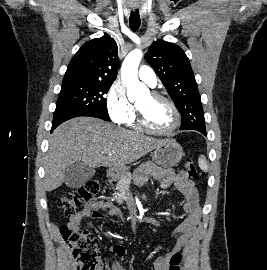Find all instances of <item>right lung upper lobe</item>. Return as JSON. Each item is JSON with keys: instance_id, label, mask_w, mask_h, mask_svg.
Here are the masks:
<instances>
[{"instance_id": "right-lung-upper-lobe-1", "label": "right lung upper lobe", "mask_w": 267, "mask_h": 270, "mask_svg": "<svg viewBox=\"0 0 267 270\" xmlns=\"http://www.w3.org/2000/svg\"><path fill=\"white\" fill-rule=\"evenodd\" d=\"M118 65L115 40L103 36L80 47L71 59L63 80L114 82Z\"/></svg>"}]
</instances>
